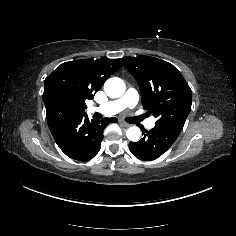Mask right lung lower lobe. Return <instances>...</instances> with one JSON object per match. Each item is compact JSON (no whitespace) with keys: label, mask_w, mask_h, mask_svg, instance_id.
I'll return each mask as SVG.
<instances>
[{"label":"right lung lower lobe","mask_w":236,"mask_h":236,"mask_svg":"<svg viewBox=\"0 0 236 236\" xmlns=\"http://www.w3.org/2000/svg\"><path fill=\"white\" fill-rule=\"evenodd\" d=\"M111 122H117V118L90 121L85 113L48 122V126L64 154L75 160L88 161L99 152L103 130Z\"/></svg>","instance_id":"right-lung-lower-lobe-1"}]
</instances>
